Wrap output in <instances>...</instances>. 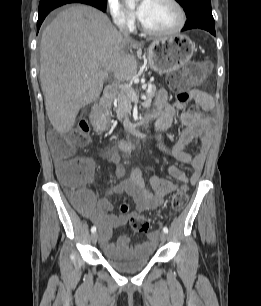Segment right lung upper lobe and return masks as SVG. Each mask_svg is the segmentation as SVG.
<instances>
[{"label": "right lung upper lobe", "instance_id": "right-lung-upper-lobe-1", "mask_svg": "<svg viewBox=\"0 0 261 306\" xmlns=\"http://www.w3.org/2000/svg\"><path fill=\"white\" fill-rule=\"evenodd\" d=\"M78 1H88V0H78Z\"/></svg>", "mask_w": 261, "mask_h": 306}]
</instances>
